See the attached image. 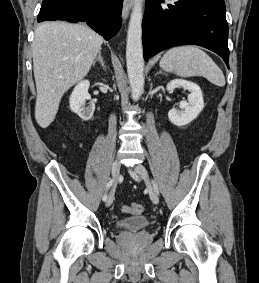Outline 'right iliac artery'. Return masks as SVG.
Wrapping results in <instances>:
<instances>
[{"mask_svg": "<svg viewBox=\"0 0 259 283\" xmlns=\"http://www.w3.org/2000/svg\"><path fill=\"white\" fill-rule=\"evenodd\" d=\"M113 183H114V179H111V180L107 183V185H106V192H105V194H104L103 197H102V200H103V201H106V200H107V191L110 189V187L113 185Z\"/></svg>", "mask_w": 259, "mask_h": 283, "instance_id": "82829eb1", "label": "right iliac artery"}]
</instances>
